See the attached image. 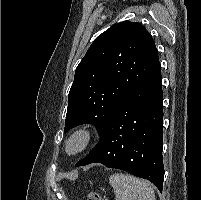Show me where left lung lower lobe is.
Returning <instances> with one entry per match:
<instances>
[{"label":"left lung lower lobe","mask_w":201,"mask_h":200,"mask_svg":"<svg viewBox=\"0 0 201 200\" xmlns=\"http://www.w3.org/2000/svg\"><path fill=\"white\" fill-rule=\"evenodd\" d=\"M92 151L75 166L101 163L151 181L162 192L163 92L160 63L117 105Z\"/></svg>","instance_id":"1"}]
</instances>
